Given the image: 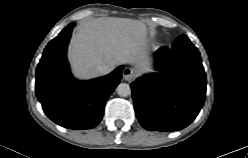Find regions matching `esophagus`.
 <instances>
[{"label":"esophagus","mask_w":248,"mask_h":158,"mask_svg":"<svg viewBox=\"0 0 248 158\" xmlns=\"http://www.w3.org/2000/svg\"><path fill=\"white\" fill-rule=\"evenodd\" d=\"M137 76V73L135 70H133L132 68H125L123 70V78L126 80V81H133Z\"/></svg>","instance_id":"esophagus-1"}]
</instances>
